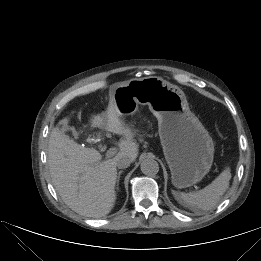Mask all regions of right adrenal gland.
<instances>
[{
	"instance_id": "1",
	"label": "right adrenal gland",
	"mask_w": 261,
	"mask_h": 261,
	"mask_svg": "<svg viewBox=\"0 0 261 261\" xmlns=\"http://www.w3.org/2000/svg\"><path fill=\"white\" fill-rule=\"evenodd\" d=\"M123 171H119L118 174H117V178H116V184H117V187L119 185V181H120V175L122 174Z\"/></svg>"
}]
</instances>
